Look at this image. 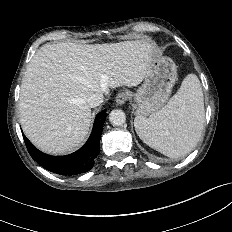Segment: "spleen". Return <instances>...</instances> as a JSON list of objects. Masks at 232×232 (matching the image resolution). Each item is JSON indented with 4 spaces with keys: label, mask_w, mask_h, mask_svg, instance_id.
<instances>
[{
    "label": "spleen",
    "mask_w": 232,
    "mask_h": 232,
    "mask_svg": "<svg viewBox=\"0 0 232 232\" xmlns=\"http://www.w3.org/2000/svg\"><path fill=\"white\" fill-rule=\"evenodd\" d=\"M204 103L200 81L188 74L178 92L167 105L146 118L134 120L140 139L170 158L188 154L199 141L204 129Z\"/></svg>",
    "instance_id": "obj_1"
}]
</instances>
